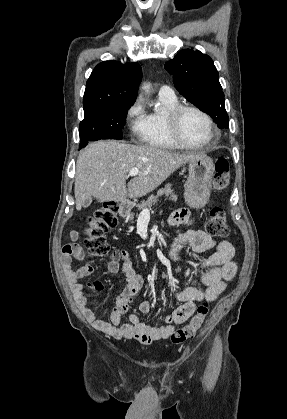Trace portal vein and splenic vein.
<instances>
[{"instance_id":"portal-vein-and-splenic-vein-1","label":"portal vein and splenic vein","mask_w":287,"mask_h":419,"mask_svg":"<svg viewBox=\"0 0 287 419\" xmlns=\"http://www.w3.org/2000/svg\"><path fill=\"white\" fill-rule=\"evenodd\" d=\"M139 174H148V171H146V172H140L139 169H137V168H132L129 171V176H136V175H139ZM143 212H149V209L148 208H145V209H143Z\"/></svg>"}]
</instances>
